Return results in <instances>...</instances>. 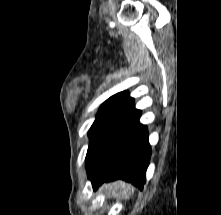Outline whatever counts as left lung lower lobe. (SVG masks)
<instances>
[{
    "label": "left lung lower lobe",
    "instance_id": "obj_1",
    "mask_svg": "<svg viewBox=\"0 0 221 215\" xmlns=\"http://www.w3.org/2000/svg\"><path fill=\"white\" fill-rule=\"evenodd\" d=\"M140 115L133 104L112 124L88 172L94 190L117 179L143 189L151 147L147 127L139 122Z\"/></svg>",
    "mask_w": 221,
    "mask_h": 215
}]
</instances>
